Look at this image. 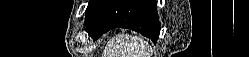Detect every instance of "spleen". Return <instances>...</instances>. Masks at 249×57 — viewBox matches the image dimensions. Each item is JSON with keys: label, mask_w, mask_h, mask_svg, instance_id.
<instances>
[{"label": "spleen", "mask_w": 249, "mask_h": 57, "mask_svg": "<svg viewBox=\"0 0 249 57\" xmlns=\"http://www.w3.org/2000/svg\"><path fill=\"white\" fill-rule=\"evenodd\" d=\"M116 50L107 51L105 57H150L148 43L142 38L128 34L119 35Z\"/></svg>", "instance_id": "spleen-1"}]
</instances>
